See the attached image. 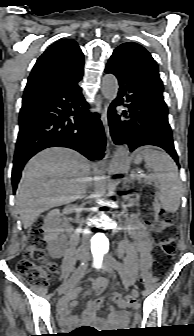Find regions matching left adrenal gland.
Returning <instances> with one entry per match:
<instances>
[{
  "label": "left adrenal gland",
  "instance_id": "1",
  "mask_svg": "<svg viewBox=\"0 0 194 336\" xmlns=\"http://www.w3.org/2000/svg\"><path fill=\"white\" fill-rule=\"evenodd\" d=\"M137 178H138V180H139V177H138L134 172H132L131 175H130V180H129V182H132L133 180H135V179H137Z\"/></svg>",
  "mask_w": 194,
  "mask_h": 336
}]
</instances>
